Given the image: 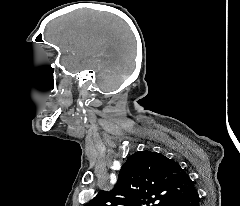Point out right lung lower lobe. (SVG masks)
Segmentation results:
<instances>
[{"label":"right lung lower lobe","mask_w":240,"mask_h":206,"mask_svg":"<svg viewBox=\"0 0 240 206\" xmlns=\"http://www.w3.org/2000/svg\"><path fill=\"white\" fill-rule=\"evenodd\" d=\"M167 206H199V195L194 188L188 194L175 199Z\"/></svg>","instance_id":"right-lung-lower-lobe-1"}]
</instances>
